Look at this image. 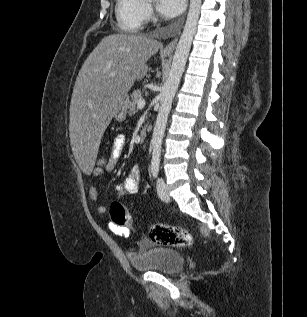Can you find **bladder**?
<instances>
[{
  "label": "bladder",
  "instance_id": "obj_1",
  "mask_svg": "<svg viewBox=\"0 0 307 317\" xmlns=\"http://www.w3.org/2000/svg\"><path fill=\"white\" fill-rule=\"evenodd\" d=\"M128 260L135 271L165 274H175L185 264V258L182 253L165 247L149 249L139 256L129 255Z\"/></svg>",
  "mask_w": 307,
  "mask_h": 317
}]
</instances>
